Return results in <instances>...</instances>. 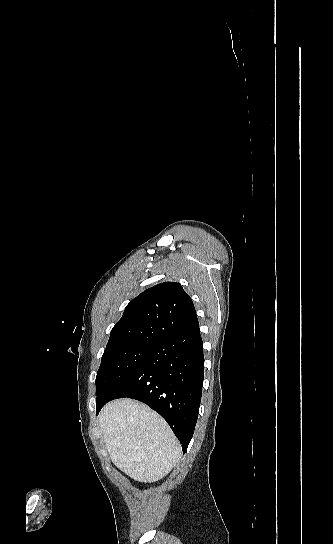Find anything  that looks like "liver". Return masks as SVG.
<instances>
[{
    "label": "liver",
    "mask_w": 333,
    "mask_h": 544,
    "mask_svg": "<svg viewBox=\"0 0 333 544\" xmlns=\"http://www.w3.org/2000/svg\"><path fill=\"white\" fill-rule=\"evenodd\" d=\"M99 425L112 462L136 481L162 479L181 458V445L168 424L140 402L108 403Z\"/></svg>",
    "instance_id": "1"
}]
</instances>
